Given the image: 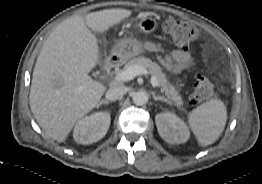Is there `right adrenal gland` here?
Wrapping results in <instances>:
<instances>
[{"mask_svg": "<svg viewBox=\"0 0 262 184\" xmlns=\"http://www.w3.org/2000/svg\"><path fill=\"white\" fill-rule=\"evenodd\" d=\"M102 104L108 105L109 101L103 99L98 103L97 107L99 108Z\"/></svg>", "mask_w": 262, "mask_h": 184, "instance_id": "obj_1", "label": "right adrenal gland"}]
</instances>
